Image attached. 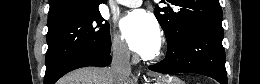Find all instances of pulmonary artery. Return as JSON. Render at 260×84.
<instances>
[{
	"mask_svg": "<svg viewBox=\"0 0 260 84\" xmlns=\"http://www.w3.org/2000/svg\"><path fill=\"white\" fill-rule=\"evenodd\" d=\"M118 3L125 5L127 7H137L142 3V1H140V0H119Z\"/></svg>",
	"mask_w": 260,
	"mask_h": 84,
	"instance_id": "pulmonary-artery-1",
	"label": "pulmonary artery"
}]
</instances>
